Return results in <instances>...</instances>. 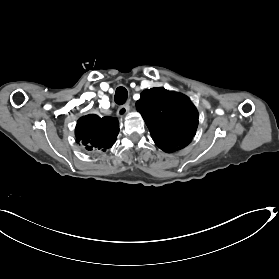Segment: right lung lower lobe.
I'll return each mask as SVG.
<instances>
[{"mask_svg":"<svg viewBox=\"0 0 279 279\" xmlns=\"http://www.w3.org/2000/svg\"><path fill=\"white\" fill-rule=\"evenodd\" d=\"M119 133V123L116 118L90 114L81 117L75 129L77 142L88 151L105 152L116 140Z\"/></svg>","mask_w":279,"mask_h":279,"instance_id":"right-lung-lower-lobe-1","label":"right lung lower lobe"}]
</instances>
